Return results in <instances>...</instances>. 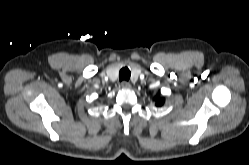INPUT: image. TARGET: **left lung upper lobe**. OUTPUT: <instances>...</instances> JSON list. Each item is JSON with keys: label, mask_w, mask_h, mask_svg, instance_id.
Returning a JSON list of instances; mask_svg holds the SVG:
<instances>
[{"label": "left lung upper lobe", "mask_w": 249, "mask_h": 165, "mask_svg": "<svg viewBox=\"0 0 249 165\" xmlns=\"http://www.w3.org/2000/svg\"><path fill=\"white\" fill-rule=\"evenodd\" d=\"M164 104V98H159L156 102L157 106H162Z\"/></svg>", "instance_id": "obj_1"}]
</instances>
